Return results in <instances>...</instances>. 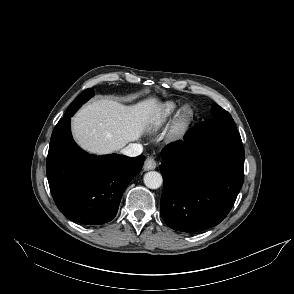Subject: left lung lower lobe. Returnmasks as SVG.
I'll return each mask as SVG.
<instances>
[{
	"label": "left lung lower lobe",
	"instance_id": "obj_1",
	"mask_svg": "<svg viewBox=\"0 0 294 294\" xmlns=\"http://www.w3.org/2000/svg\"><path fill=\"white\" fill-rule=\"evenodd\" d=\"M161 215L172 229L202 231L229 213L243 184L244 148L232 118H212L161 152Z\"/></svg>",
	"mask_w": 294,
	"mask_h": 294
}]
</instances>
